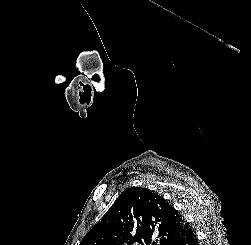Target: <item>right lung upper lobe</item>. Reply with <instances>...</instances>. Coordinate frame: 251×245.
Returning <instances> with one entry per match:
<instances>
[{"label": "right lung upper lobe", "instance_id": "obj_1", "mask_svg": "<svg viewBox=\"0 0 251 245\" xmlns=\"http://www.w3.org/2000/svg\"><path fill=\"white\" fill-rule=\"evenodd\" d=\"M189 229L183 217L160 195L127 188L80 245H166Z\"/></svg>", "mask_w": 251, "mask_h": 245}]
</instances>
